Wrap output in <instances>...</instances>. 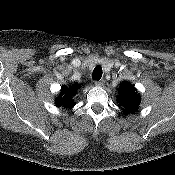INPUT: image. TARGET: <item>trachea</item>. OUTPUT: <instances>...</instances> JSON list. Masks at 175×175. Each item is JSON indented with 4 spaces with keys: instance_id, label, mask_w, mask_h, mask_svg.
Here are the masks:
<instances>
[{
    "instance_id": "trachea-1",
    "label": "trachea",
    "mask_w": 175,
    "mask_h": 175,
    "mask_svg": "<svg viewBox=\"0 0 175 175\" xmlns=\"http://www.w3.org/2000/svg\"><path fill=\"white\" fill-rule=\"evenodd\" d=\"M102 73H103L102 67L100 65H97L93 70L92 79L99 81L102 77Z\"/></svg>"
}]
</instances>
